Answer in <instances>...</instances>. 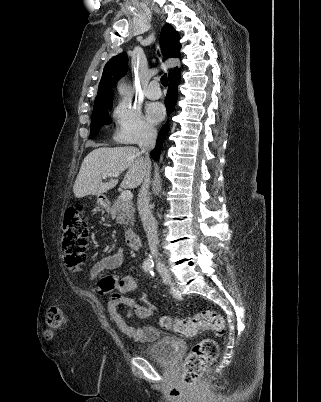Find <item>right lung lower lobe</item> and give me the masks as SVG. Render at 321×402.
I'll return each mask as SVG.
<instances>
[{
  "label": "right lung lower lobe",
  "mask_w": 321,
  "mask_h": 402,
  "mask_svg": "<svg viewBox=\"0 0 321 402\" xmlns=\"http://www.w3.org/2000/svg\"><path fill=\"white\" fill-rule=\"evenodd\" d=\"M179 80H180V72H177L169 77V89H168V92L166 95V100H165V106L167 108L168 115L174 109L176 101H177V97H178L177 86H178ZM167 131H168L167 126L163 127V129L159 133V136L157 139V145L151 152V157L156 161L159 160L160 151H161L162 144H163V139H164V136L167 133Z\"/></svg>",
  "instance_id": "1"
}]
</instances>
